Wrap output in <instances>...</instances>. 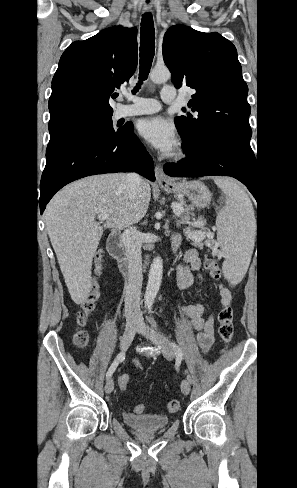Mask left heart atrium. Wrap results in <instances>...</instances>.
<instances>
[{"instance_id":"left-heart-atrium-1","label":"left heart atrium","mask_w":297,"mask_h":488,"mask_svg":"<svg viewBox=\"0 0 297 488\" xmlns=\"http://www.w3.org/2000/svg\"><path fill=\"white\" fill-rule=\"evenodd\" d=\"M139 133L163 154L169 155L178 144L174 125L161 116L143 120L139 125Z\"/></svg>"}]
</instances>
